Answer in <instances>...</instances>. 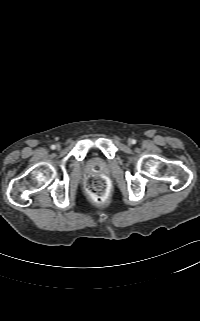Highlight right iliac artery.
<instances>
[{
    "instance_id": "1",
    "label": "right iliac artery",
    "mask_w": 200,
    "mask_h": 321,
    "mask_svg": "<svg viewBox=\"0 0 200 321\" xmlns=\"http://www.w3.org/2000/svg\"><path fill=\"white\" fill-rule=\"evenodd\" d=\"M56 148L55 145H51V149L54 150Z\"/></svg>"
}]
</instances>
